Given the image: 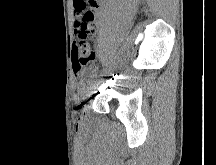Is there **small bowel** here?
Returning a JSON list of instances; mask_svg holds the SVG:
<instances>
[{
	"label": "small bowel",
	"mask_w": 216,
	"mask_h": 165,
	"mask_svg": "<svg viewBox=\"0 0 216 165\" xmlns=\"http://www.w3.org/2000/svg\"><path fill=\"white\" fill-rule=\"evenodd\" d=\"M75 15V30L83 20L85 13H92V19L88 23L89 29L94 33L103 18L102 0H73Z\"/></svg>",
	"instance_id": "1"
}]
</instances>
